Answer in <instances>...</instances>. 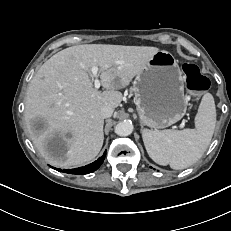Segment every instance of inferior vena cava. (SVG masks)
<instances>
[{
    "label": "inferior vena cava",
    "mask_w": 231,
    "mask_h": 231,
    "mask_svg": "<svg viewBox=\"0 0 231 231\" xmlns=\"http://www.w3.org/2000/svg\"><path fill=\"white\" fill-rule=\"evenodd\" d=\"M113 111H114L113 108H111L110 106H103L100 112H101L102 117L105 119V118L111 117L113 114Z\"/></svg>",
    "instance_id": "602c4592"
}]
</instances>
